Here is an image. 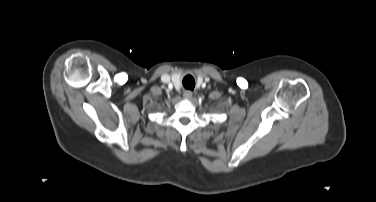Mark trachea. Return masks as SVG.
<instances>
[{
	"instance_id": "trachea-1",
	"label": "trachea",
	"mask_w": 376,
	"mask_h": 202,
	"mask_svg": "<svg viewBox=\"0 0 376 202\" xmlns=\"http://www.w3.org/2000/svg\"><path fill=\"white\" fill-rule=\"evenodd\" d=\"M183 85L186 89L193 90L195 87V80L191 75L186 76L183 79Z\"/></svg>"
}]
</instances>
